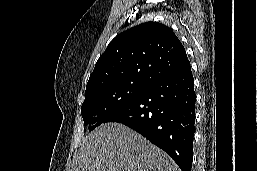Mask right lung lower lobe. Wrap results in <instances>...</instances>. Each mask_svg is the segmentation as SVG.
<instances>
[{
  "label": "right lung lower lobe",
  "instance_id": "obj_1",
  "mask_svg": "<svg viewBox=\"0 0 257 171\" xmlns=\"http://www.w3.org/2000/svg\"><path fill=\"white\" fill-rule=\"evenodd\" d=\"M195 101L189 63L149 84L104 123L125 124L169 154L182 171H191Z\"/></svg>",
  "mask_w": 257,
  "mask_h": 171
}]
</instances>
